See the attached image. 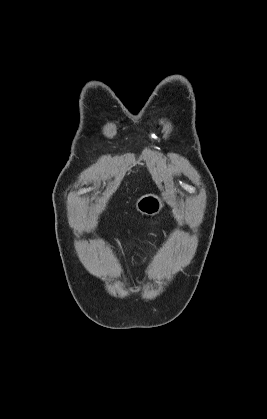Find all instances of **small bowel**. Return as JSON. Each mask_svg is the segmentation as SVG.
I'll return each instance as SVG.
<instances>
[{
	"mask_svg": "<svg viewBox=\"0 0 267 419\" xmlns=\"http://www.w3.org/2000/svg\"><path fill=\"white\" fill-rule=\"evenodd\" d=\"M101 243H102V242H101V241H99V247H102V244H101ZM147 263H148V261H147V260H145V261H144V263H143V265H141V266H139V267L132 268V269H131V272L136 273V272L141 271Z\"/></svg>",
	"mask_w": 267,
	"mask_h": 419,
	"instance_id": "c3829d8e",
	"label": "small bowel"
}]
</instances>
